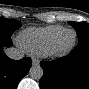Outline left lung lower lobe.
I'll return each mask as SVG.
<instances>
[{
    "instance_id": "obj_1",
    "label": "left lung lower lobe",
    "mask_w": 89,
    "mask_h": 89,
    "mask_svg": "<svg viewBox=\"0 0 89 89\" xmlns=\"http://www.w3.org/2000/svg\"><path fill=\"white\" fill-rule=\"evenodd\" d=\"M40 65V89H89V39H79L69 55Z\"/></svg>"
}]
</instances>
